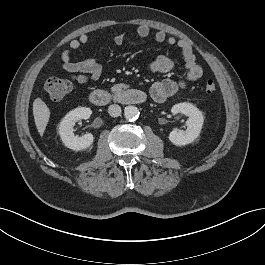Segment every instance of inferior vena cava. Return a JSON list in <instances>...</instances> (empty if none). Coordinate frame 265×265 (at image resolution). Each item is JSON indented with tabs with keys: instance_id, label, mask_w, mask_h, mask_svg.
<instances>
[{
	"instance_id": "602c4592",
	"label": "inferior vena cava",
	"mask_w": 265,
	"mask_h": 265,
	"mask_svg": "<svg viewBox=\"0 0 265 265\" xmlns=\"http://www.w3.org/2000/svg\"><path fill=\"white\" fill-rule=\"evenodd\" d=\"M108 113L111 117H118L121 115V107L117 104L110 105Z\"/></svg>"
}]
</instances>
